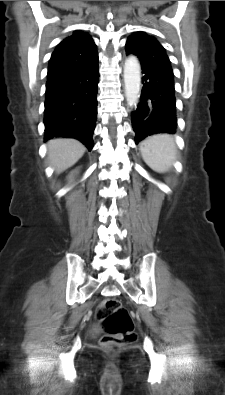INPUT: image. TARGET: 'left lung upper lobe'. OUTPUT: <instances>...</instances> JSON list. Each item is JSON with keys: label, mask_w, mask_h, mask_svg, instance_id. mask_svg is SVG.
Here are the masks:
<instances>
[{"label": "left lung upper lobe", "mask_w": 225, "mask_h": 395, "mask_svg": "<svg viewBox=\"0 0 225 395\" xmlns=\"http://www.w3.org/2000/svg\"><path fill=\"white\" fill-rule=\"evenodd\" d=\"M125 49L137 56L141 65L161 64L171 67L164 47L145 32H135L129 36Z\"/></svg>", "instance_id": "1"}]
</instances>
